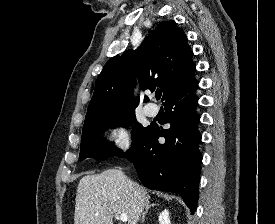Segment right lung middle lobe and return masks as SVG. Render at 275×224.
Segmentation results:
<instances>
[{"label": "right lung middle lobe", "mask_w": 275, "mask_h": 224, "mask_svg": "<svg viewBox=\"0 0 275 224\" xmlns=\"http://www.w3.org/2000/svg\"><path fill=\"white\" fill-rule=\"evenodd\" d=\"M136 121L135 111L116 114L83 128L80 158L93 157L97 160L107 159L121 153V150L112 143L106 142L102 134L108 127L128 126ZM148 127H143L140 123H135L132 129V144L141 137Z\"/></svg>", "instance_id": "dd1d6c3e"}]
</instances>
